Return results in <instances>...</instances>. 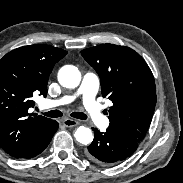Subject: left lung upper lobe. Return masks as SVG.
<instances>
[{
	"label": "left lung upper lobe",
	"instance_id": "5c2ea615",
	"mask_svg": "<svg viewBox=\"0 0 183 183\" xmlns=\"http://www.w3.org/2000/svg\"><path fill=\"white\" fill-rule=\"evenodd\" d=\"M81 54L98 73L103 97L113 103L108 128L140 142L156 104L155 81L147 63L133 49L114 44L84 49Z\"/></svg>",
	"mask_w": 183,
	"mask_h": 183
}]
</instances>
